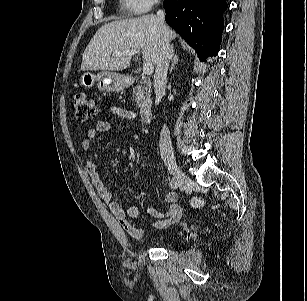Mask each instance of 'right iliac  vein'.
<instances>
[{
	"label": "right iliac vein",
	"mask_w": 307,
	"mask_h": 301,
	"mask_svg": "<svg viewBox=\"0 0 307 301\" xmlns=\"http://www.w3.org/2000/svg\"><path fill=\"white\" fill-rule=\"evenodd\" d=\"M165 164L171 174L177 179L181 187L185 189L190 182L189 177L182 171L176 160L172 157L165 159Z\"/></svg>",
	"instance_id": "right-iliac-vein-1"
}]
</instances>
